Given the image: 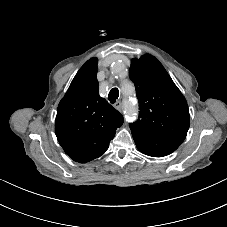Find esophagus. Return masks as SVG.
<instances>
[{"label":"esophagus","mask_w":227,"mask_h":227,"mask_svg":"<svg viewBox=\"0 0 227 227\" xmlns=\"http://www.w3.org/2000/svg\"><path fill=\"white\" fill-rule=\"evenodd\" d=\"M114 107H115L116 110L121 111L122 110V103L120 101H118L114 104Z\"/></svg>","instance_id":"obj_1"}]
</instances>
